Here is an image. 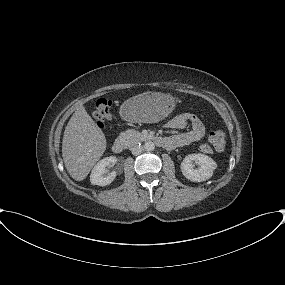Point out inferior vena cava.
Instances as JSON below:
<instances>
[{
    "label": "inferior vena cava",
    "mask_w": 285,
    "mask_h": 285,
    "mask_svg": "<svg viewBox=\"0 0 285 285\" xmlns=\"http://www.w3.org/2000/svg\"><path fill=\"white\" fill-rule=\"evenodd\" d=\"M133 155H139L143 152V147L141 145H135L131 148Z\"/></svg>",
    "instance_id": "602c4592"
}]
</instances>
